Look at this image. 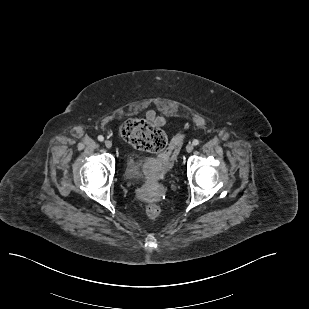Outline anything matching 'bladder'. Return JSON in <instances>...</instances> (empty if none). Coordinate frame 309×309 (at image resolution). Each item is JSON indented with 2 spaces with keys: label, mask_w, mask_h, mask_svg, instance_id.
Instances as JSON below:
<instances>
[{
  "label": "bladder",
  "mask_w": 309,
  "mask_h": 309,
  "mask_svg": "<svg viewBox=\"0 0 309 309\" xmlns=\"http://www.w3.org/2000/svg\"><path fill=\"white\" fill-rule=\"evenodd\" d=\"M144 160L135 156L129 155L126 158L124 166V176L129 181H143L145 174L143 172Z\"/></svg>",
  "instance_id": "obj_1"
}]
</instances>
